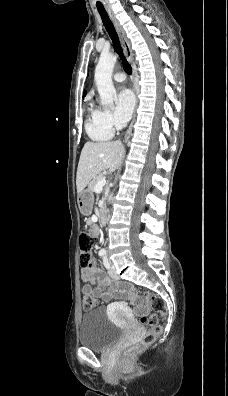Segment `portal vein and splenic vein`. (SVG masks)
I'll list each match as a JSON object with an SVG mask.
<instances>
[{"instance_id":"obj_1","label":"portal vein and splenic vein","mask_w":228,"mask_h":396,"mask_svg":"<svg viewBox=\"0 0 228 396\" xmlns=\"http://www.w3.org/2000/svg\"><path fill=\"white\" fill-rule=\"evenodd\" d=\"M106 184V179L102 178L94 187L95 192H101L103 189V186Z\"/></svg>"}]
</instances>
